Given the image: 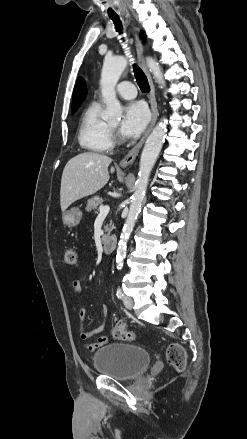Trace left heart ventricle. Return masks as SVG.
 Listing matches in <instances>:
<instances>
[{"label":"left heart ventricle","instance_id":"obj_1","mask_svg":"<svg viewBox=\"0 0 247 439\" xmlns=\"http://www.w3.org/2000/svg\"><path fill=\"white\" fill-rule=\"evenodd\" d=\"M117 124H118L117 122H114V123H112V126L115 127V126H117Z\"/></svg>","mask_w":247,"mask_h":439}]
</instances>
